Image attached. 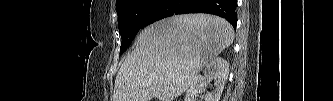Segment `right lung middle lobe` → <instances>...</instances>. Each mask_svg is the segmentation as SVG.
<instances>
[{"instance_id":"1","label":"right lung middle lobe","mask_w":333,"mask_h":101,"mask_svg":"<svg viewBox=\"0 0 333 101\" xmlns=\"http://www.w3.org/2000/svg\"><path fill=\"white\" fill-rule=\"evenodd\" d=\"M161 0H119L116 2L118 27L122 38L120 54L131 44L138 31Z\"/></svg>"}]
</instances>
